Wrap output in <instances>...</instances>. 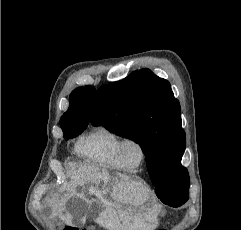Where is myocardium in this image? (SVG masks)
Wrapping results in <instances>:
<instances>
[{
    "label": "myocardium",
    "instance_id": "f54148a6",
    "mask_svg": "<svg viewBox=\"0 0 241 230\" xmlns=\"http://www.w3.org/2000/svg\"><path fill=\"white\" fill-rule=\"evenodd\" d=\"M129 144L137 145L139 147L140 151H141V160H140V163L138 164V166L136 168L131 167L126 162L125 157H124L125 148ZM117 154H118L119 161L121 162L123 167L128 171L139 170L145 164V162L147 161V157H148V152H147V148H146L145 144L139 138L133 137V136L123 137L120 140V142L118 144V148H117Z\"/></svg>",
    "mask_w": 241,
    "mask_h": 230
}]
</instances>
